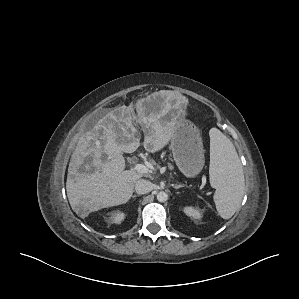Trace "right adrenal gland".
<instances>
[{
  "instance_id": "2a0ac1e0",
  "label": "right adrenal gland",
  "mask_w": 299,
  "mask_h": 299,
  "mask_svg": "<svg viewBox=\"0 0 299 299\" xmlns=\"http://www.w3.org/2000/svg\"><path fill=\"white\" fill-rule=\"evenodd\" d=\"M137 196H139V195H138V194H135V195H133V198H134V197H137Z\"/></svg>"
}]
</instances>
